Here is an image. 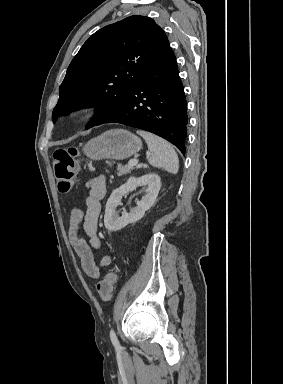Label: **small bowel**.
Masks as SVG:
<instances>
[{
	"label": "small bowel",
	"mask_w": 283,
	"mask_h": 384,
	"mask_svg": "<svg viewBox=\"0 0 283 384\" xmlns=\"http://www.w3.org/2000/svg\"><path fill=\"white\" fill-rule=\"evenodd\" d=\"M88 195L85 199L86 210H74L70 222V238L72 246L79 258L82 270L91 278H98L101 267L110 263L109 257H104L100 264L95 261L94 251L99 250L101 242L97 236L98 218L101 210V200L106 193V179L97 175L86 183ZM90 238L89 243L78 237L80 229Z\"/></svg>",
	"instance_id": "1"
}]
</instances>
